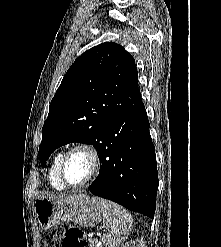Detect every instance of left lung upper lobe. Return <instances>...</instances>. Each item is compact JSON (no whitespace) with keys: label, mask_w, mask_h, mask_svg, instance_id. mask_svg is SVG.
<instances>
[{"label":"left lung upper lobe","mask_w":221,"mask_h":247,"mask_svg":"<svg viewBox=\"0 0 221 247\" xmlns=\"http://www.w3.org/2000/svg\"><path fill=\"white\" fill-rule=\"evenodd\" d=\"M143 106L134 58L119 44L102 43L78 57L55 93L42 129V166L58 147L79 142L100 151L104 128Z\"/></svg>","instance_id":"left-lung-upper-lobe-1"}]
</instances>
